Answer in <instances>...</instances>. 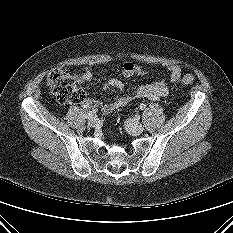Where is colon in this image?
I'll return each mask as SVG.
<instances>
[{
	"label": "colon",
	"instance_id": "1",
	"mask_svg": "<svg viewBox=\"0 0 233 233\" xmlns=\"http://www.w3.org/2000/svg\"><path fill=\"white\" fill-rule=\"evenodd\" d=\"M194 82L192 75H185L182 84L190 85ZM47 86L60 103H81L85 93L77 87L76 79L64 68L51 70L47 75Z\"/></svg>",
	"mask_w": 233,
	"mask_h": 233
}]
</instances>
